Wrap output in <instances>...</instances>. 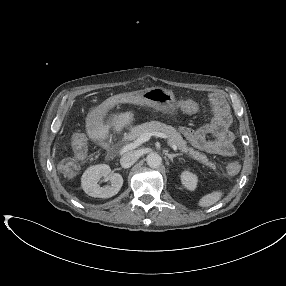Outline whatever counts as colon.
Here are the masks:
<instances>
[{
  "label": "colon",
  "mask_w": 286,
  "mask_h": 286,
  "mask_svg": "<svg viewBox=\"0 0 286 286\" xmlns=\"http://www.w3.org/2000/svg\"><path fill=\"white\" fill-rule=\"evenodd\" d=\"M74 144L79 151H82L83 147H84L83 137L81 135L77 134L74 138ZM237 170H238V164L237 163H231L229 165V171L230 172H236Z\"/></svg>",
  "instance_id": "1"
}]
</instances>
